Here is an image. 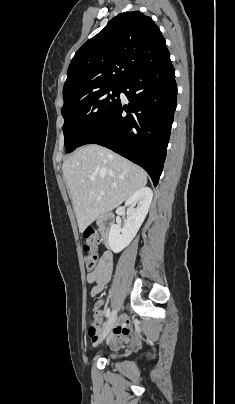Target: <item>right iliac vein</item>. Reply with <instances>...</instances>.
Masks as SVG:
<instances>
[{"mask_svg":"<svg viewBox=\"0 0 235 404\" xmlns=\"http://www.w3.org/2000/svg\"><path fill=\"white\" fill-rule=\"evenodd\" d=\"M117 313L116 311H113V316L110 317V319L108 320L107 324H106V328L105 331L102 334V339H104L107 334L110 332V330L113 328V326L117 323Z\"/></svg>","mask_w":235,"mask_h":404,"instance_id":"1","label":"right iliac vein"}]
</instances>
